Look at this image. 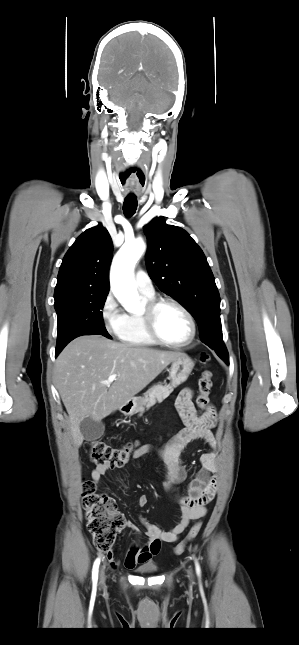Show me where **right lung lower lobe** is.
Returning a JSON list of instances; mask_svg holds the SVG:
<instances>
[{
  "label": "right lung lower lobe",
  "mask_w": 299,
  "mask_h": 645,
  "mask_svg": "<svg viewBox=\"0 0 299 645\" xmlns=\"http://www.w3.org/2000/svg\"><path fill=\"white\" fill-rule=\"evenodd\" d=\"M60 351H61V350H59V351L57 350V351H56V356L60 353Z\"/></svg>",
  "instance_id": "1"
}]
</instances>
